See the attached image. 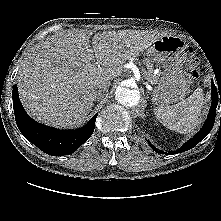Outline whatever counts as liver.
<instances>
[{"mask_svg": "<svg viewBox=\"0 0 221 221\" xmlns=\"http://www.w3.org/2000/svg\"><path fill=\"white\" fill-rule=\"evenodd\" d=\"M162 35L120 30L91 33L68 30L35 46L18 72L20 101L37 121L68 128L82 124L93 106V93L121 76L132 56Z\"/></svg>", "mask_w": 221, "mask_h": 221, "instance_id": "liver-1", "label": "liver"}]
</instances>
